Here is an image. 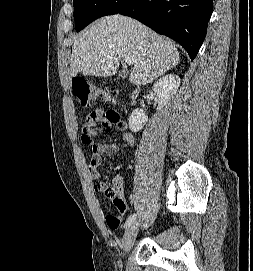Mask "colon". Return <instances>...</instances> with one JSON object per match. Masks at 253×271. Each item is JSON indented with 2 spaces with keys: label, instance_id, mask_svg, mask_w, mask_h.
<instances>
[{
  "label": "colon",
  "instance_id": "1",
  "mask_svg": "<svg viewBox=\"0 0 253 271\" xmlns=\"http://www.w3.org/2000/svg\"><path fill=\"white\" fill-rule=\"evenodd\" d=\"M74 94L83 107L91 106L95 101L101 99L105 102L112 101V95L99 86L93 85L81 78H76L72 82ZM108 115L113 120H118L119 116L115 112H109ZM99 189L110 198L117 209L116 213L106 215V223L110 228H117L122 222V217L126 209V202L123 197V191L120 183L99 182Z\"/></svg>",
  "mask_w": 253,
  "mask_h": 271
}]
</instances>
